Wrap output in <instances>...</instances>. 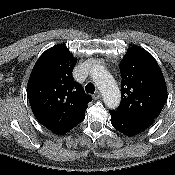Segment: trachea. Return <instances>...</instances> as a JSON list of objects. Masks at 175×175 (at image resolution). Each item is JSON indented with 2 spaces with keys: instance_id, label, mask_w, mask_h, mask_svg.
Here are the masks:
<instances>
[{
  "instance_id": "1",
  "label": "trachea",
  "mask_w": 175,
  "mask_h": 175,
  "mask_svg": "<svg viewBox=\"0 0 175 175\" xmlns=\"http://www.w3.org/2000/svg\"><path fill=\"white\" fill-rule=\"evenodd\" d=\"M85 91H86L87 93L94 94V92H95V86H94L92 83H88V84L85 86Z\"/></svg>"
}]
</instances>
